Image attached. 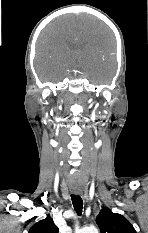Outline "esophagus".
Masks as SVG:
<instances>
[{"label":"esophagus","instance_id":"esophagus-1","mask_svg":"<svg viewBox=\"0 0 148 233\" xmlns=\"http://www.w3.org/2000/svg\"><path fill=\"white\" fill-rule=\"evenodd\" d=\"M79 193H80V191H78V190L74 191V194H79Z\"/></svg>","mask_w":148,"mask_h":233}]
</instances>
